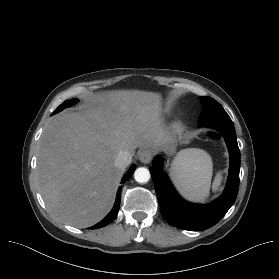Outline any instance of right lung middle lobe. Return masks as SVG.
I'll list each match as a JSON object with an SVG mask.
<instances>
[{"instance_id":"right-lung-middle-lobe-1","label":"right lung middle lobe","mask_w":279,"mask_h":279,"mask_svg":"<svg viewBox=\"0 0 279 279\" xmlns=\"http://www.w3.org/2000/svg\"><path fill=\"white\" fill-rule=\"evenodd\" d=\"M78 100L77 99H71V100H67L65 101L64 103H62L55 111L53 114L61 111L63 108L65 107H69V106H72L73 104L77 103Z\"/></svg>"}]
</instances>
